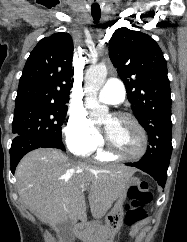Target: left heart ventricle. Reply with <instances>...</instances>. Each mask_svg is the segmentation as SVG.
I'll list each match as a JSON object with an SVG mask.
<instances>
[{"label": "left heart ventricle", "mask_w": 187, "mask_h": 242, "mask_svg": "<svg viewBox=\"0 0 187 242\" xmlns=\"http://www.w3.org/2000/svg\"><path fill=\"white\" fill-rule=\"evenodd\" d=\"M103 128L110 144L117 150L134 154L141 149V136L136 127L128 121L108 117Z\"/></svg>", "instance_id": "1"}]
</instances>
